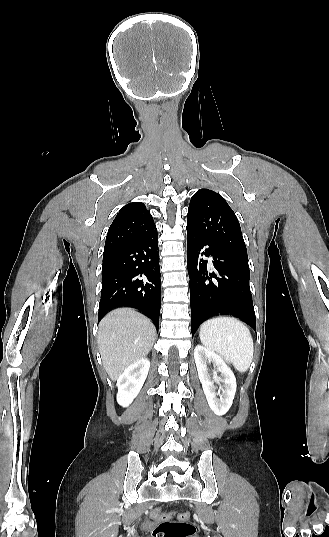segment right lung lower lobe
<instances>
[{"mask_svg": "<svg viewBox=\"0 0 329 537\" xmlns=\"http://www.w3.org/2000/svg\"><path fill=\"white\" fill-rule=\"evenodd\" d=\"M157 229L126 245L104 249L98 321L110 310L138 308L158 327L161 275Z\"/></svg>", "mask_w": 329, "mask_h": 537, "instance_id": "obj_1", "label": "right lung lower lobe"}]
</instances>
